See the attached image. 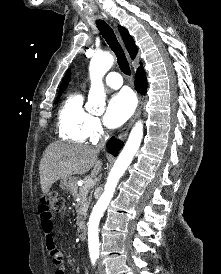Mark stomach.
<instances>
[{"mask_svg":"<svg viewBox=\"0 0 221 274\" xmlns=\"http://www.w3.org/2000/svg\"><path fill=\"white\" fill-rule=\"evenodd\" d=\"M60 187L67 193L73 194L76 192V179L74 177L64 178L60 182Z\"/></svg>","mask_w":221,"mask_h":274,"instance_id":"stomach-1","label":"stomach"}]
</instances>
